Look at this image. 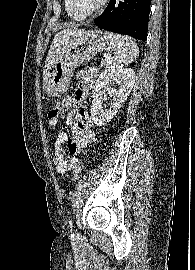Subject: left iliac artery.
<instances>
[{
    "mask_svg": "<svg viewBox=\"0 0 195 270\" xmlns=\"http://www.w3.org/2000/svg\"><path fill=\"white\" fill-rule=\"evenodd\" d=\"M69 224H70V227L72 228V221L71 220L69 221Z\"/></svg>",
    "mask_w": 195,
    "mask_h": 270,
    "instance_id": "44dca946",
    "label": "left iliac artery"
}]
</instances>
